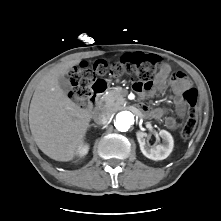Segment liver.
<instances>
[{"label": "liver", "instance_id": "obj_1", "mask_svg": "<svg viewBox=\"0 0 221 221\" xmlns=\"http://www.w3.org/2000/svg\"><path fill=\"white\" fill-rule=\"evenodd\" d=\"M80 59L58 64L36 85L29 109V124L39 149L51 159H74L85 139L91 111L76 105L60 88L59 78Z\"/></svg>", "mask_w": 221, "mask_h": 221}]
</instances>
